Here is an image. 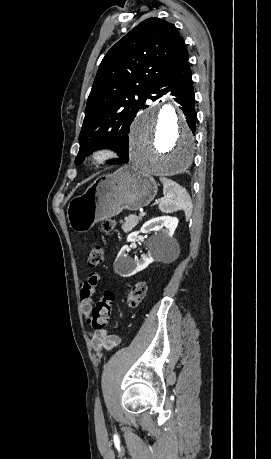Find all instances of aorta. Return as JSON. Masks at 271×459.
<instances>
[{
	"instance_id": "1",
	"label": "aorta",
	"mask_w": 271,
	"mask_h": 459,
	"mask_svg": "<svg viewBox=\"0 0 271 459\" xmlns=\"http://www.w3.org/2000/svg\"><path fill=\"white\" fill-rule=\"evenodd\" d=\"M194 137L171 104L153 108L134 123L130 160L147 176L161 178L184 171L193 160Z\"/></svg>"
}]
</instances>
